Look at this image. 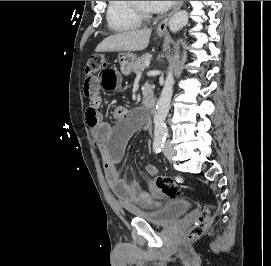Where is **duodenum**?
Wrapping results in <instances>:
<instances>
[{"label":"duodenum","mask_w":271,"mask_h":266,"mask_svg":"<svg viewBox=\"0 0 271 266\" xmlns=\"http://www.w3.org/2000/svg\"><path fill=\"white\" fill-rule=\"evenodd\" d=\"M144 104L150 108L153 109L156 105V98L153 95L147 94L144 96Z\"/></svg>","instance_id":"obj_1"}]
</instances>
